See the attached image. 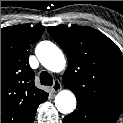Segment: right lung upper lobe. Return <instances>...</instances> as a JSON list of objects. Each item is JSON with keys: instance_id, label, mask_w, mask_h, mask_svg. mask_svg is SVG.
<instances>
[{"instance_id": "cb5924a9", "label": "right lung upper lobe", "mask_w": 123, "mask_h": 123, "mask_svg": "<svg viewBox=\"0 0 123 123\" xmlns=\"http://www.w3.org/2000/svg\"><path fill=\"white\" fill-rule=\"evenodd\" d=\"M44 29L9 26L1 29V123H30L37 107L48 93L34 85L29 66L30 45L38 41Z\"/></svg>"}]
</instances>
